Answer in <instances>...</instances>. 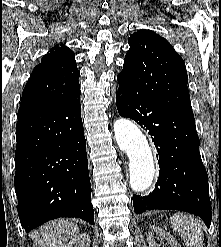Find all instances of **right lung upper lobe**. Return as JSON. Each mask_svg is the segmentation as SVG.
<instances>
[{
    "label": "right lung upper lobe",
    "instance_id": "right-lung-upper-lobe-1",
    "mask_svg": "<svg viewBox=\"0 0 221 247\" xmlns=\"http://www.w3.org/2000/svg\"><path fill=\"white\" fill-rule=\"evenodd\" d=\"M74 56L64 44L55 45L43 56L23 90L18 113L62 101L80 91Z\"/></svg>",
    "mask_w": 221,
    "mask_h": 247
}]
</instances>
